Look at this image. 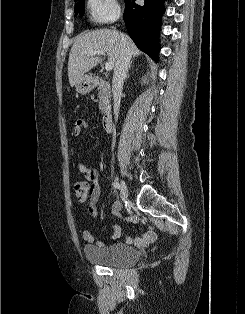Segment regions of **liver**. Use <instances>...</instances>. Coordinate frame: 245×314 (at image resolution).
Returning a JSON list of instances; mask_svg holds the SVG:
<instances>
[{
	"instance_id": "6515ba94",
	"label": "liver",
	"mask_w": 245,
	"mask_h": 314,
	"mask_svg": "<svg viewBox=\"0 0 245 314\" xmlns=\"http://www.w3.org/2000/svg\"><path fill=\"white\" fill-rule=\"evenodd\" d=\"M124 43L130 49L131 56L136 57L141 53L129 36L116 30L100 29L80 35L69 54L70 86L73 87L86 72L101 61L99 56H89L90 51L102 50L107 53L109 60L116 64Z\"/></svg>"
}]
</instances>
